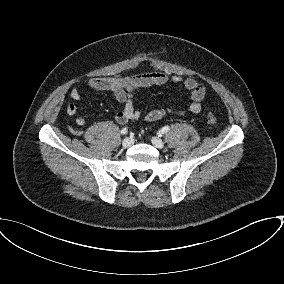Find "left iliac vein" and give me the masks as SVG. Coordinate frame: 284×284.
<instances>
[{"label":"left iliac vein","instance_id":"obj_1","mask_svg":"<svg viewBox=\"0 0 284 284\" xmlns=\"http://www.w3.org/2000/svg\"><path fill=\"white\" fill-rule=\"evenodd\" d=\"M151 142L158 149H162L164 147L163 141L158 137H152Z\"/></svg>","mask_w":284,"mask_h":284}]
</instances>
